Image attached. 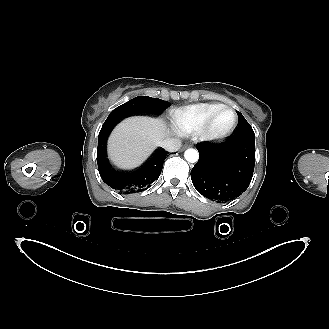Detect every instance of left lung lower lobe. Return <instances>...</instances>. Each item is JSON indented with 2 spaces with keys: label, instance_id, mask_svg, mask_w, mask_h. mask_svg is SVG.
Returning <instances> with one entry per match:
<instances>
[{
  "label": "left lung lower lobe",
  "instance_id": "1",
  "mask_svg": "<svg viewBox=\"0 0 329 329\" xmlns=\"http://www.w3.org/2000/svg\"><path fill=\"white\" fill-rule=\"evenodd\" d=\"M196 148L200 156L191 179L201 195L228 202L248 188L255 165V135L232 136L222 143L197 144Z\"/></svg>",
  "mask_w": 329,
  "mask_h": 329
}]
</instances>
